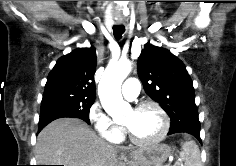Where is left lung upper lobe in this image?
Instances as JSON below:
<instances>
[{"label": "left lung upper lobe", "instance_id": "1", "mask_svg": "<svg viewBox=\"0 0 236 166\" xmlns=\"http://www.w3.org/2000/svg\"><path fill=\"white\" fill-rule=\"evenodd\" d=\"M137 65L146 94L161 105L171 123L198 114L192 80L169 50L147 43Z\"/></svg>", "mask_w": 236, "mask_h": 166}]
</instances>
